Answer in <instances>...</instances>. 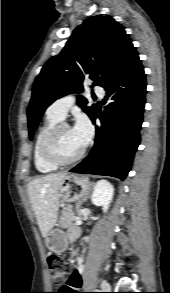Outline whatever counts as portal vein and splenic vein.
<instances>
[{"label": "portal vein and splenic vein", "instance_id": "obj_1", "mask_svg": "<svg viewBox=\"0 0 170 293\" xmlns=\"http://www.w3.org/2000/svg\"><path fill=\"white\" fill-rule=\"evenodd\" d=\"M76 224H81V221L77 220V221H76Z\"/></svg>", "mask_w": 170, "mask_h": 293}]
</instances>
